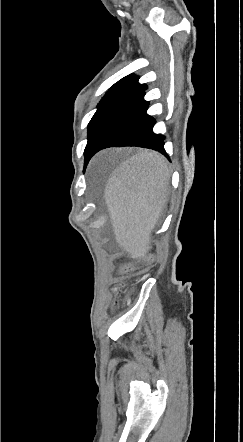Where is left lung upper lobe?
<instances>
[{"instance_id": "5c2ea615", "label": "left lung upper lobe", "mask_w": 243, "mask_h": 442, "mask_svg": "<svg viewBox=\"0 0 243 442\" xmlns=\"http://www.w3.org/2000/svg\"><path fill=\"white\" fill-rule=\"evenodd\" d=\"M139 77L135 75H128L121 80H119L117 83H115L109 91L106 93V95L102 98L100 103L97 106V111L95 112L94 116L90 120L88 124V142L95 131L97 125L102 120V118L106 115V113L119 101L121 100L126 94H128L130 91L137 88L139 85L138 83ZM88 163L84 164V170L86 168Z\"/></svg>"}]
</instances>
